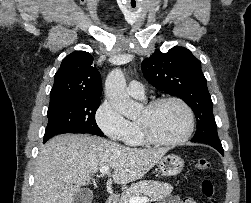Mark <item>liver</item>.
<instances>
[{
	"label": "liver",
	"instance_id": "1",
	"mask_svg": "<svg viewBox=\"0 0 251 203\" xmlns=\"http://www.w3.org/2000/svg\"><path fill=\"white\" fill-rule=\"evenodd\" d=\"M168 150L128 148L82 134L58 135L42 146L37 158L33 203H74L77 193L102 167L114 170L117 184L139 180Z\"/></svg>",
	"mask_w": 251,
	"mask_h": 203
}]
</instances>
